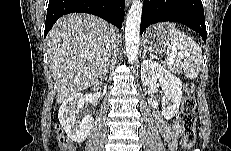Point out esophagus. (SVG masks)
Masks as SVG:
<instances>
[{
  "mask_svg": "<svg viewBox=\"0 0 231 151\" xmlns=\"http://www.w3.org/2000/svg\"><path fill=\"white\" fill-rule=\"evenodd\" d=\"M130 2V0H126V6H128Z\"/></svg>",
  "mask_w": 231,
  "mask_h": 151,
  "instance_id": "esophagus-1",
  "label": "esophagus"
}]
</instances>
